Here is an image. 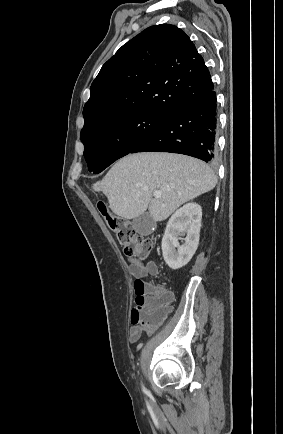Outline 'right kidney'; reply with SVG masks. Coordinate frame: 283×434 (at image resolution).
I'll list each match as a JSON object with an SVG mask.
<instances>
[{"label":"right kidney","instance_id":"1","mask_svg":"<svg viewBox=\"0 0 283 434\" xmlns=\"http://www.w3.org/2000/svg\"><path fill=\"white\" fill-rule=\"evenodd\" d=\"M201 206L188 203L178 209L169 219L162 238V253L171 269L185 266L195 254L200 237ZM181 236H186L182 244Z\"/></svg>","mask_w":283,"mask_h":434}]
</instances>
